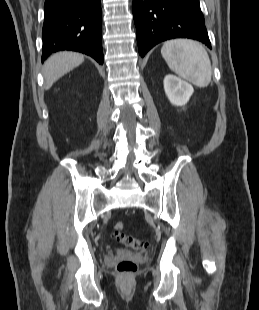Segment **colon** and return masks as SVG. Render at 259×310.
<instances>
[{
	"label": "colon",
	"mask_w": 259,
	"mask_h": 310,
	"mask_svg": "<svg viewBox=\"0 0 259 310\" xmlns=\"http://www.w3.org/2000/svg\"><path fill=\"white\" fill-rule=\"evenodd\" d=\"M124 227L123 222L114 224V237L118 242L133 249H142L146 246L145 241L125 233ZM116 269L121 275H131L136 271L137 265L130 259H124L118 262Z\"/></svg>",
	"instance_id": "obj_1"
}]
</instances>
